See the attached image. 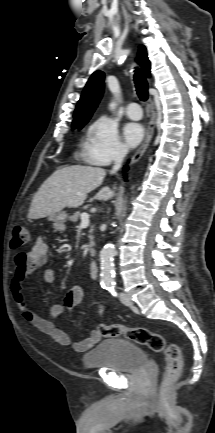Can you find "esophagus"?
<instances>
[{
    "label": "esophagus",
    "instance_id": "obj_1",
    "mask_svg": "<svg viewBox=\"0 0 215 433\" xmlns=\"http://www.w3.org/2000/svg\"><path fill=\"white\" fill-rule=\"evenodd\" d=\"M150 106L152 109V115H151V119H150V122L148 125L146 136H145V139H144L142 145L138 148V150L132 156L131 164L138 162L139 159L143 156V154L145 153L146 149L148 148V146L152 140L153 134H154L156 114L154 111V103H153V100L151 97H150Z\"/></svg>",
    "mask_w": 215,
    "mask_h": 433
}]
</instances>
